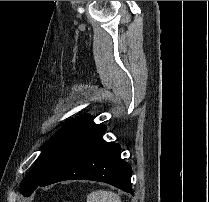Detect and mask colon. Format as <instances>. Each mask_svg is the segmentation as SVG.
Listing matches in <instances>:
<instances>
[{
    "label": "colon",
    "mask_w": 209,
    "mask_h": 202,
    "mask_svg": "<svg viewBox=\"0 0 209 202\" xmlns=\"http://www.w3.org/2000/svg\"><path fill=\"white\" fill-rule=\"evenodd\" d=\"M62 202H70V201H66V200H65V201H62Z\"/></svg>",
    "instance_id": "5ec220e1"
}]
</instances>
